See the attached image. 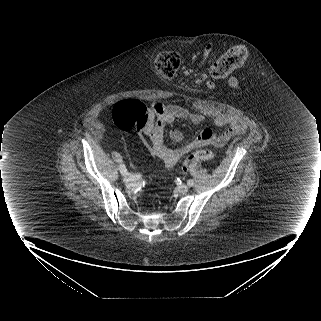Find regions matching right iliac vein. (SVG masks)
<instances>
[{"instance_id": "obj_1", "label": "right iliac vein", "mask_w": 321, "mask_h": 321, "mask_svg": "<svg viewBox=\"0 0 321 321\" xmlns=\"http://www.w3.org/2000/svg\"><path fill=\"white\" fill-rule=\"evenodd\" d=\"M124 182L126 185H132L133 184V180L131 178L125 177L124 178Z\"/></svg>"}]
</instances>
